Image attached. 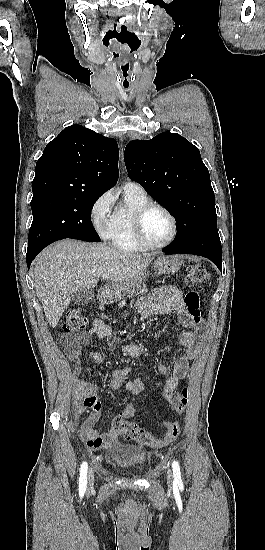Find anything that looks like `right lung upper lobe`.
<instances>
[{
  "instance_id": "1",
  "label": "right lung upper lobe",
  "mask_w": 265,
  "mask_h": 550,
  "mask_svg": "<svg viewBox=\"0 0 265 550\" xmlns=\"http://www.w3.org/2000/svg\"><path fill=\"white\" fill-rule=\"evenodd\" d=\"M119 151L113 138L81 125L66 127L36 163L32 192L102 195L118 179Z\"/></svg>"
}]
</instances>
